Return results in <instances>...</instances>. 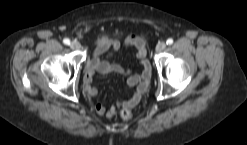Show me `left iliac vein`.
I'll return each mask as SVG.
<instances>
[{"label": "left iliac vein", "mask_w": 247, "mask_h": 145, "mask_svg": "<svg viewBox=\"0 0 247 145\" xmlns=\"http://www.w3.org/2000/svg\"><path fill=\"white\" fill-rule=\"evenodd\" d=\"M165 48H166V43L164 41H160L156 45V52H162Z\"/></svg>", "instance_id": "left-iliac-vein-1"}]
</instances>
